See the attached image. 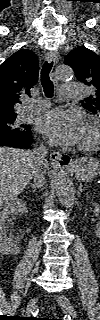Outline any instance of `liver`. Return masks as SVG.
Wrapping results in <instances>:
<instances>
[{
  "instance_id": "liver-1",
  "label": "liver",
  "mask_w": 100,
  "mask_h": 320,
  "mask_svg": "<svg viewBox=\"0 0 100 320\" xmlns=\"http://www.w3.org/2000/svg\"><path fill=\"white\" fill-rule=\"evenodd\" d=\"M47 164L44 168H47ZM36 172L32 151L0 148V202L3 207L20 194Z\"/></svg>"
}]
</instances>
